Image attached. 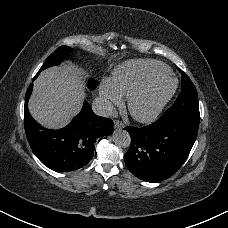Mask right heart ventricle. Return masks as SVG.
Wrapping results in <instances>:
<instances>
[{
  "instance_id": "e07e8e85",
  "label": "right heart ventricle",
  "mask_w": 228,
  "mask_h": 228,
  "mask_svg": "<svg viewBox=\"0 0 228 228\" xmlns=\"http://www.w3.org/2000/svg\"><path fill=\"white\" fill-rule=\"evenodd\" d=\"M169 74L170 70L159 62H128L115 70L112 84L121 94L130 97L146 82L153 79L166 78Z\"/></svg>"
}]
</instances>
